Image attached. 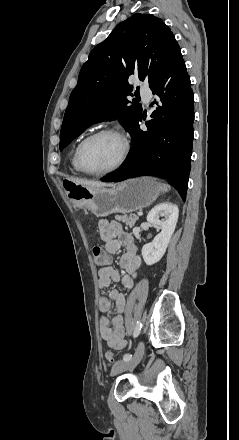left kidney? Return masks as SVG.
Returning <instances> with one entry per match:
<instances>
[{
	"instance_id": "5707ae66",
	"label": "left kidney",
	"mask_w": 239,
	"mask_h": 440,
	"mask_svg": "<svg viewBox=\"0 0 239 440\" xmlns=\"http://www.w3.org/2000/svg\"><path fill=\"white\" fill-rule=\"evenodd\" d=\"M178 216V206L170 204V202H163V204H158L150 210L147 222L152 226H158L162 232L155 236L153 242L145 244L142 248V258L147 266L156 264L164 256L176 228ZM159 218H164V220H159Z\"/></svg>"
}]
</instances>
